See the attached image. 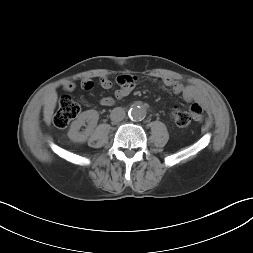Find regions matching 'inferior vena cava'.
Listing matches in <instances>:
<instances>
[{
    "label": "inferior vena cava",
    "instance_id": "602c4592",
    "mask_svg": "<svg viewBox=\"0 0 253 253\" xmlns=\"http://www.w3.org/2000/svg\"><path fill=\"white\" fill-rule=\"evenodd\" d=\"M125 111L121 107H116L111 111L110 118L114 122L122 121L125 118Z\"/></svg>",
    "mask_w": 253,
    "mask_h": 253
}]
</instances>
